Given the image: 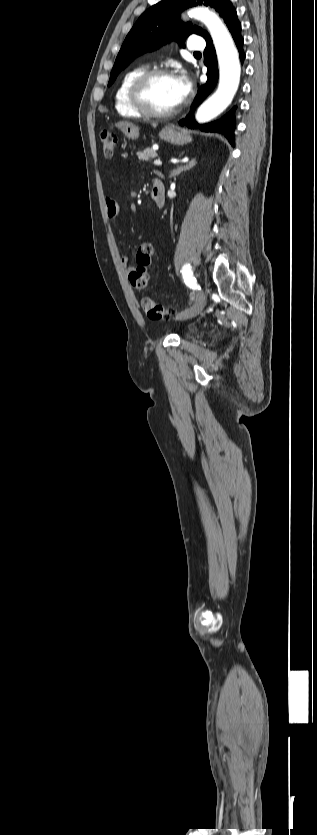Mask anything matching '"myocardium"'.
<instances>
[{"mask_svg": "<svg viewBox=\"0 0 317 835\" xmlns=\"http://www.w3.org/2000/svg\"><path fill=\"white\" fill-rule=\"evenodd\" d=\"M159 77L173 76L169 70L164 68L148 69L144 73L139 75L130 87L129 98L131 104L138 112H140L145 117L168 118L175 115L180 109V105L178 104L172 109L166 111H158L150 105L147 99V91L151 83Z\"/></svg>", "mask_w": 317, "mask_h": 835, "instance_id": "f54148a6", "label": "myocardium"}]
</instances>
